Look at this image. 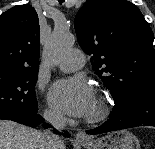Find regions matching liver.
Here are the masks:
<instances>
[{"instance_id": "liver-1", "label": "liver", "mask_w": 155, "mask_h": 149, "mask_svg": "<svg viewBox=\"0 0 155 149\" xmlns=\"http://www.w3.org/2000/svg\"><path fill=\"white\" fill-rule=\"evenodd\" d=\"M43 136L42 131L0 120V149H44Z\"/></svg>"}]
</instances>
